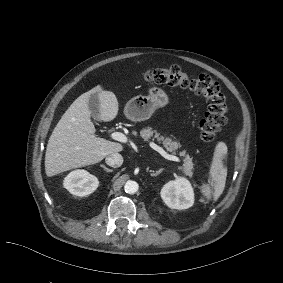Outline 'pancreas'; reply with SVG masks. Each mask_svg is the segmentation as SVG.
Listing matches in <instances>:
<instances>
[{"label": "pancreas", "instance_id": "obj_1", "mask_svg": "<svg viewBox=\"0 0 283 283\" xmlns=\"http://www.w3.org/2000/svg\"><path fill=\"white\" fill-rule=\"evenodd\" d=\"M154 135L153 139H157L158 141H163L162 144L166 148L167 152L172 153L173 155L176 154L177 150L181 147V144L178 142H175L173 139L169 138H158V133L152 129V127H146L145 129L140 130V136L147 141L150 139L151 136ZM180 156L182 157L183 161V167L182 169L185 171V173L189 176L193 175V170L195 169V161L190 157V155L186 152V150H183L180 152Z\"/></svg>", "mask_w": 283, "mask_h": 283}]
</instances>
